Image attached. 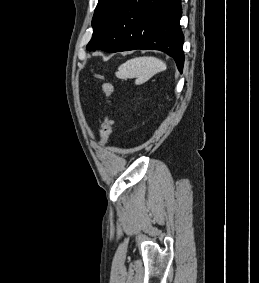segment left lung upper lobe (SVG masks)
<instances>
[{
    "mask_svg": "<svg viewBox=\"0 0 259 283\" xmlns=\"http://www.w3.org/2000/svg\"><path fill=\"white\" fill-rule=\"evenodd\" d=\"M125 0H99L92 19L93 35L87 47L105 34Z\"/></svg>",
    "mask_w": 259,
    "mask_h": 283,
    "instance_id": "5c2ea615",
    "label": "left lung upper lobe"
}]
</instances>
